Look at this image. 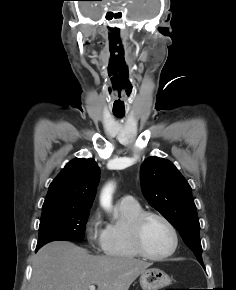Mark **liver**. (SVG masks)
<instances>
[{"mask_svg": "<svg viewBox=\"0 0 236 290\" xmlns=\"http://www.w3.org/2000/svg\"><path fill=\"white\" fill-rule=\"evenodd\" d=\"M151 263L114 256H94L68 241H54L34 256L29 290H128Z\"/></svg>", "mask_w": 236, "mask_h": 290, "instance_id": "liver-1", "label": "liver"}]
</instances>
